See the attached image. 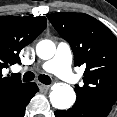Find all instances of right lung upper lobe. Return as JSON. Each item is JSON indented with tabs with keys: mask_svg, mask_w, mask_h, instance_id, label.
Here are the masks:
<instances>
[{
	"mask_svg": "<svg viewBox=\"0 0 117 117\" xmlns=\"http://www.w3.org/2000/svg\"><path fill=\"white\" fill-rule=\"evenodd\" d=\"M47 25L45 17L0 16V110L11 104L28 86L20 77L4 76L2 69L20 63L19 53Z\"/></svg>",
	"mask_w": 117,
	"mask_h": 117,
	"instance_id": "cb5924a9",
	"label": "right lung upper lobe"
}]
</instances>
